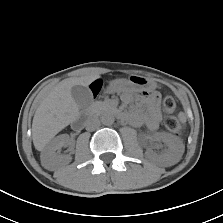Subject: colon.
<instances>
[{
    "label": "colon",
    "mask_w": 223,
    "mask_h": 223,
    "mask_svg": "<svg viewBox=\"0 0 223 223\" xmlns=\"http://www.w3.org/2000/svg\"><path fill=\"white\" fill-rule=\"evenodd\" d=\"M163 105H164V109L166 110V112L170 113L175 109L176 102L172 97L168 96L164 99ZM164 124L170 131H172L178 135L181 134V131H182L181 126L175 117H173L171 115H167L164 118Z\"/></svg>",
    "instance_id": "5ec220e1"
}]
</instances>
